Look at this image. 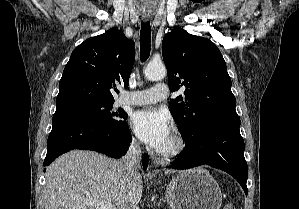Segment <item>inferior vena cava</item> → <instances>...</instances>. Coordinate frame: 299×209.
<instances>
[{
    "label": "inferior vena cava",
    "instance_id": "602c4592",
    "mask_svg": "<svg viewBox=\"0 0 299 209\" xmlns=\"http://www.w3.org/2000/svg\"><path fill=\"white\" fill-rule=\"evenodd\" d=\"M141 164L140 144L133 140L131 145L121 161V167L128 178H133Z\"/></svg>",
    "mask_w": 299,
    "mask_h": 209
}]
</instances>
